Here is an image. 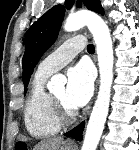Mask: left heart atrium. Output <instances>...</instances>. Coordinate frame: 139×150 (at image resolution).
Listing matches in <instances>:
<instances>
[{
  "mask_svg": "<svg viewBox=\"0 0 139 150\" xmlns=\"http://www.w3.org/2000/svg\"><path fill=\"white\" fill-rule=\"evenodd\" d=\"M67 78V103L73 109L84 106L93 93L94 75L91 67L80 63L68 71Z\"/></svg>",
  "mask_w": 139,
  "mask_h": 150,
  "instance_id": "39dd6f15",
  "label": "left heart atrium"
}]
</instances>
